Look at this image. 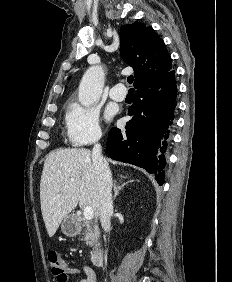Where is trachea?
<instances>
[{
    "label": "trachea",
    "instance_id": "trachea-1",
    "mask_svg": "<svg viewBox=\"0 0 232 282\" xmlns=\"http://www.w3.org/2000/svg\"><path fill=\"white\" fill-rule=\"evenodd\" d=\"M133 80H134L133 76H129V77L127 78V82H128L129 84L133 83ZM130 90H133V89H130Z\"/></svg>",
    "mask_w": 232,
    "mask_h": 282
}]
</instances>
